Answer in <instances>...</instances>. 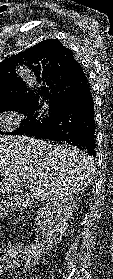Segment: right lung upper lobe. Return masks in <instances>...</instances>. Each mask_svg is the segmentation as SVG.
<instances>
[{"mask_svg": "<svg viewBox=\"0 0 113 279\" xmlns=\"http://www.w3.org/2000/svg\"><path fill=\"white\" fill-rule=\"evenodd\" d=\"M27 66L40 84L29 89L15 73ZM88 81L73 51L57 39H47L0 63V108L39 103L60 105L74 98Z\"/></svg>", "mask_w": 113, "mask_h": 279, "instance_id": "right-lung-upper-lobe-1", "label": "right lung upper lobe"}]
</instances>
